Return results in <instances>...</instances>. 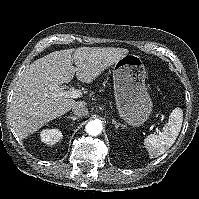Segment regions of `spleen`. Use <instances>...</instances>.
<instances>
[{"instance_id": "1", "label": "spleen", "mask_w": 199, "mask_h": 199, "mask_svg": "<svg viewBox=\"0 0 199 199\" xmlns=\"http://www.w3.org/2000/svg\"><path fill=\"white\" fill-rule=\"evenodd\" d=\"M182 122L183 111L181 108H175L171 112L163 131L158 134H150L144 139V145L150 158L164 154L174 144L181 130Z\"/></svg>"}]
</instances>
